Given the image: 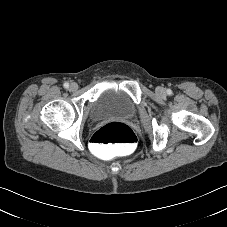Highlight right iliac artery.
<instances>
[{
	"label": "right iliac artery",
	"instance_id": "right-iliac-artery-1",
	"mask_svg": "<svg viewBox=\"0 0 227 227\" xmlns=\"http://www.w3.org/2000/svg\"><path fill=\"white\" fill-rule=\"evenodd\" d=\"M64 88H66V89L69 88V83H67V82L64 83Z\"/></svg>",
	"mask_w": 227,
	"mask_h": 227
}]
</instances>
